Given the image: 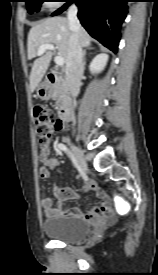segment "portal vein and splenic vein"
I'll return each mask as SVG.
<instances>
[{
	"label": "portal vein and splenic vein",
	"mask_w": 158,
	"mask_h": 275,
	"mask_svg": "<svg viewBox=\"0 0 158 275\" xmlns=\"http://www.w3.org/2000/svg\"><path fill=\"white\" fill-rule=\"evenodd\" d=\"M47 50H49V51L55 50L54 45H52V44H44V45H41V46L38 48L37 55L40 56V55L44 54ZM54 61H55L56 65H58V66H63L64 63H65L64 58L61 57V56L55 57V60H54Z\"/></svg>",
	"instance_id": "18ae733b"
}]
</instances>
